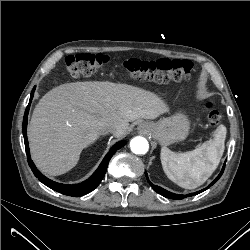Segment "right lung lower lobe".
Returning <instances> with one entry per match:
<instances>
[{"label": "right lung lower lobe", "instance_id": "right-lung-lower-lobe-1", "mask_svg": "<svg viewBox=\"0 0 250 250\" xmlns=\"http://www.w3.org/2000/svg\"><path fill=\"white\" fill-rule=\"evenodd\" d=\"M34 91H35V87L31 92V96H30V101L29 104L25 110V114H24V119H23V136H24V142H25V149H26V154H27V159H28V163L30 168L32 169L33 173L35 174V176L46 186H48L49 188L62 193L64 195H68V196H73V197H80L82 195H85L89 192H91L92 190H94L99 183L101 182V180L103 179L106 170H107V166L108 163L111 159V157L113 156V154L120 149L121 147H123L127 142L126 141H120L118 143H116L111 149L110 151L107 153V155L104 157L103 161L101 162V164L99 165V167L97 168V170L93 173V175L88 178L87 180H85L84 182L80 183V184H62V183H57L55 181H52L50 179H48L47 177H45L35 166V164L33 163V161L31 160L30 157V151H29V146H28V139H27V116H28V112H29V108H30V104H31V100L33 98L34 95Z\"/></svg>", "mask_w": 250, "mask_h": 250}]
</instances>
